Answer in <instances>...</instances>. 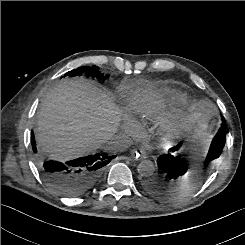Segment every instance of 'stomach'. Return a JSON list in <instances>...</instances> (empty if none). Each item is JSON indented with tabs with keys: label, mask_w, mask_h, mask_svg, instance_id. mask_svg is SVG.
<instances>
[{
	"label": "stomach",
	"mask_w": 245,
	"mask_h": 245,
	"mask_svg": "<svg viewBox=\"0 0 245 245\" xmlns=\"http://www.w3.org/2000/svg\"><path fill=\"white\" fill-rule=\"evenodd\" d=\"M214 113L210 106H203L199 112L184 125L183 130L201 145L209 139L215 127Z\"/></svg>",
	"instance_id": "0dacf381"
}]
</instances>
